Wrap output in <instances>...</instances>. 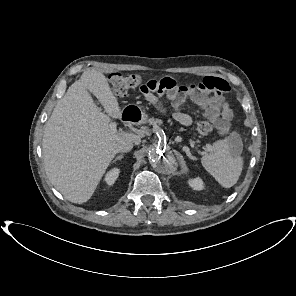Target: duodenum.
<instances>
[{
    "label": "duodenum",
    "instance_id": "1",
    "mask_svg": "<svg viewBox=\"0 0 296 296\" xmlns=\"http://www.w3.org/2000/svg\"><path fill=\"white\" fill-rule=\"evenodd\" d=\"M123 118H124V120L136 121L137 114L134 111H126L123 114Z\"/></svg>",
    "mask_w": 296,
    "mask_h": 296
}]
</instances>
